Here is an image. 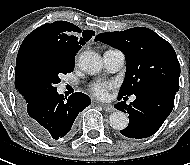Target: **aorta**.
I'll return each mask as SVG.
<instances>
[{
  "mask_svg": "<svg viewBox=\"0 0 190 165\" xmlns=\"http://www.w3.org/2000/svg\"><path fill=\"white\" fill-rule=\"evenodd\" d=\"M80 68L87 74L94 75L102 69L101 56L94 51H86L79 57ZM110 126L116 130H123L128 126L129 119L124 112L116 111L109 117Z\"/></svg>",
  "mask_w": 190,
  "mask_h": 165,
  "instance_id": "1",
  "label": "aorta"
}]
</instances>
